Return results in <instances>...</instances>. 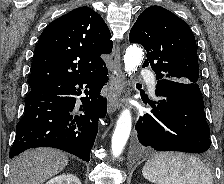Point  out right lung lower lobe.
<instances>
[{"instance_id": "98d812e1", "label": "right lung lower lobe", "mask_w": 224, "mask_h": 184, "mask_svg": "<svg viewBox=\"0 0 224 184\" xmlns=\"http://www.w3.org/2000/svg\"><path fill=\"white\" fill-rule=\"evenodd\" d=\"M107 75L105 66L89 76L31 89L25 98V113L17 124L9 157L29 148L53 147L89 162L98 119L107 111V101L100 95ZM83 92L86 97H81L82 105L77 113L76 97Z\"/></svg>"}]
</instances>
